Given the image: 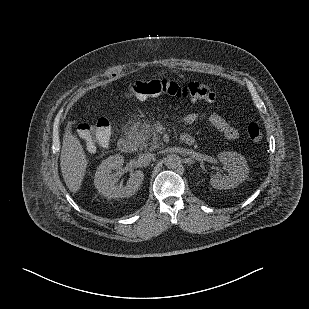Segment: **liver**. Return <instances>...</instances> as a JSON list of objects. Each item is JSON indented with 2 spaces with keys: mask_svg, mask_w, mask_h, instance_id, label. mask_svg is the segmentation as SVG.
<instances>
[{
  "mask_svg": "<svg viewBox=\"0 0 309 309\" xmlns=\"http://www.w3.org/2000/svg\"><path fill=\"white\" fill-rule=\"evenodd\" d=\"M88 161L79 139L70 132V125L63 137L60 167L68 189L79 191Z\"/></svg>",
  "mask_w": 309,
  "mask_h": 309,
  "instance_id": "1",
  "label": "liver"
}]
</instances>
